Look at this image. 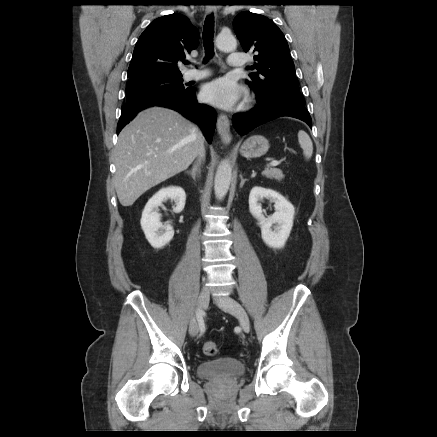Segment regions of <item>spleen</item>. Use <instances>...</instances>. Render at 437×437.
<instances>
[{"label": "spleen", "instance_id": "3e777b00", "mask_svg": "<svg viewBox=\"0 0 437 437\" xmlns=\"http://www.w3.org/2000/svg\"><path fill=\"white\" fill-rule=\"evenodd\" d=\"M298 141H299L301 148L303 149V154H304L305 158L306 159L311 158V156L313 154V143H312L309 135L305 131L300 130L298 132Z\"/></svg>", "mask_w": 437, "mask_h": 437}]
</instances>
